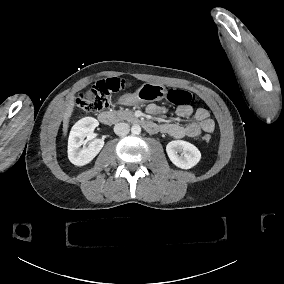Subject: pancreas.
Instances as JSON below:
<instances>
[{"label": "pancreas", "instance_id": "1", "mask_svg": "<svg viewBox=\"0 0 284 284\" xmlns=\"http://www.w3.org/2000/svg\"><path fill=\"white\" fill-rule=\"evenodd\" d=\"M113 114L117 121L132 122L135 120V117L132 111H125L123 109H120L118 111L113 112Z\"/></svg>", "mask_w": 284, "mask_h": 284}]
</instances>
